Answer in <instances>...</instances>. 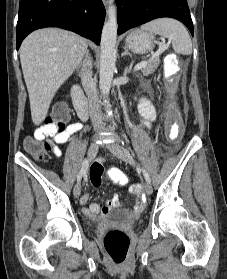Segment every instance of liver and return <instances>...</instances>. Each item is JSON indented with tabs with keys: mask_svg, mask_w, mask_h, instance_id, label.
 Listing matches in <instances>:
<instances>
[{
	"mask_svg": "<svg viewBox=\"0 0 227 279\" xmlns=\"http://www.w3.org/2000/svg\"><path fill=\"white\" fill-rule=\"evenodd\" d=\"M87 47L85 38L57 28L37 30L24 39L20 61L35 125L46 118L55 93L77 68Z\"/></svg>",
	"mask_w": 227,
	"mask_h": 279,
	"instance_id": "obj_1",
	"label": "liver"
}]
</instances>
